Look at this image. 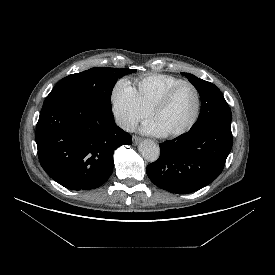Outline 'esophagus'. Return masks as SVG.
Here are the masks:
<instances>
[{
	"label": "esophagus",
	"mask_w": 275,
	"mask_h": 275,
	"mask_svg": "<svg viewBox=\"0 0 275 275\" xmlns=\"http://www.w3.org/2000/svg\"><path fill=\"white\" fill-rule=\"evenodd\" d=\"M132 140H133V144L137 145L141 141V138L138 136H133Z\"/></svg>",
	"instance_id": "obj_1"
}]
</instances>
